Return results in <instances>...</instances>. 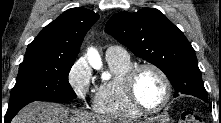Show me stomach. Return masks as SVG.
I'll return each mask as SVG.
<instances>
[{"mask_svg":"<svg viewBox=\"0 0 221 123\" xmlns=\"http://www.w3.org/2000/svg\"><path fill=\"white\" fill-rule=\"evenodd\" d=\"M160 119L159 118H153V119H150L149 121H148V123H160Z\"/></svg>","mask_w":221,"mask_h":123,"instance_id":"obj_1","label":"stomach"}]
</instances>
